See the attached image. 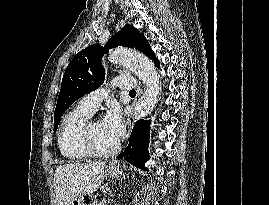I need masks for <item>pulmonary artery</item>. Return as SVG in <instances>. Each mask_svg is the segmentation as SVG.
Instances as JSON below:
<instances>
[{
    "label": "pulmonary artery",
    "instance_id": "1",
    "mask_svg": "<svg viewBox=\"0 0 269 205\" xmlns=\"http://www.w3.org/2000/svg\"><path fill=\"white\" fill-rule=\"evenodd\" d=\"M117 85L121 89H133L137 86L136 79L132 76H120L116 80L110 82V86ZM109 89L100 88L87 95H85L80 101L78 106L94 113L102 100L107 96Z\"/></svg>",
    "mask_w": 269,
    "mask_h": 205
}]
</instances>
